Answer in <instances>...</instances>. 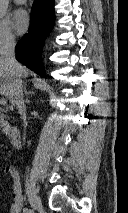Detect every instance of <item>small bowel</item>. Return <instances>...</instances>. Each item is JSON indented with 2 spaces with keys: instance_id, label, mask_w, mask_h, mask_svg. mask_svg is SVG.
<instances>
[{
  "instance_id": "1",
  "label": "small bowel",
  "mask_w": 128,
  "mask_h": 213,
  "mask_svg": "<svg viewBox=\"0 0 128 213\" xmlns=\"http://www.w3.org/2000/svg\"><path fill=\"white\" fill-rule=\"evenodd\" d=\"M5 174L10 178L11 189H12V199L10 203L9 213H21L23 194L20 182L19 172L14 167H6L4 169Z\"/></svg>"
}]
</instances>
